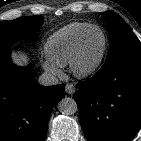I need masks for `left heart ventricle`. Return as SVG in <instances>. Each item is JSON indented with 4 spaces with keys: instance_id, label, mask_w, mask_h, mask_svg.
<instances>
[{
    "instance_id": "left-heart-ventricle-1",
    "label": "left heart ventricle",
    "mask_w": 141,
    "mask_h": 141,
    "mask_svg": "<svg viewBox=\"0 0 141 141\" xmlns=\"http://www.w3.org/2000/svg\"><path fill=\"white\" fill-rule=\"evenodd\" d=\"M103 47V36L98 30L91 31L84 43L81 63L83 66L92 64L99 56Z\"/></svg>"
}]
</instances>
